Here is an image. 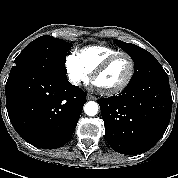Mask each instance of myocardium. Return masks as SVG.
I'll list each match as a JSON object with an SVG mask.
<instances>
[{"label": "myocardium", "mask_w": 178, "mask_h": 178, "mask_svg": "<svg viewBox=\"0 0 178 178\" xmlns=\"http://www.w3.org/2000/svg\"><path fill=\"white\" fill-rule=\"evenodd\" d=\"M121 57H127L130 62L129 74H128L127 78L125 79V81L123 83H121L119 86H117L113 89H109V90L101 89V92L106 96H112V95L118 94V93L124 91L129 86V84L131 83V81L134 77V74H135V60H134V58L126 52H120V53L111 55L108 58H106L92 72L91 79H92V82L95 84L96 78L102 72H104L113 62H115L117 59H119Z\"/></svg>", "instance_id": "1"}]
</instances>
